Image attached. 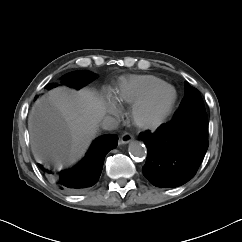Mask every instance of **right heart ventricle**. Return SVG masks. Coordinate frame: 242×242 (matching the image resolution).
<instances>
[{"label":"right heart ventricle","mask_w":242,"mask_h":242,"mask_svg":"<svg viewBox=\"0 0 242 242\" xmlns=\"http://www.w3.org/2000/svg\"><path fill=\"white\" fill-rule=\"evenodd\" d=\"M164 84L166 82L163 79L154 75H132L121 79L112 92L118 102L132 105L154 88Z\"/></svg>","instance_id":"right-heart-ventricle-1"}]
</instances>
